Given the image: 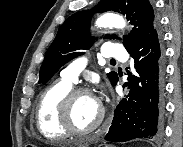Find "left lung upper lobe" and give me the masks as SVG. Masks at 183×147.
<instances>
[{"label": "left lung upper lobe", "instance_id": "5c2ea615", "mask_svg": "<svg viewBox=\"0 0 183 147\" xmlns=\"http://www.w3.org/2000/svg\"><path fill=\"white\" fill-rule=\"evenodd\" d=\"M94 11H116L126 15L134 25L131 33L123 38L126 49L131 48L146 38L159 24L152 5L148 0H102ZM93 11L84 10L71 15L59 28L58 33L47 50L40 69L39 83L45 84L67 62L84 54L81 50L88 49L93 42L89 27ZM108 39L116 35L106 36ZM111 83L117 81V73H108Z\"/></svg>", "mask_w": 183, "mask_h": 147}]
</instances>
